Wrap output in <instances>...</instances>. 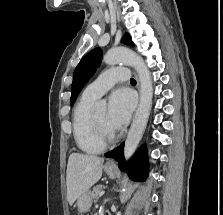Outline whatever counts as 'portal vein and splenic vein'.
Segmentation results:
<instances>
[{
  "label": "portal vein and splenic vein",
  "instance_id": "18ae733b",
  "mask_svg": "<svg viewBox=\"0 0 223 215\" xmlns=\"http://www.w3.org/2000/svg\"><path fill=\"white\" fill-rule=\"evenodd\" d=\"M104 190H107V189H104ZM100 195H105V192L102 190L101 192H99V196Z\"/></svg>",
  "mask_w": 223,
  "mask_h": 215
}]
</instances>
